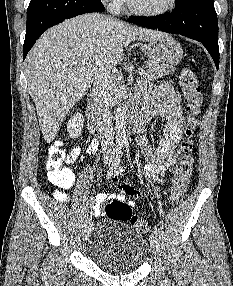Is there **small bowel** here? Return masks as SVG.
Instances as JSON below:
<instances>
[{
	"mask_svg": "<svg viewBox=\"0 0 233 286\" xmlns=\"http://www.w3.org/2000/svg\"><path fill=\"white\" fill-rule=\"evenodd\" d=\"M137 99L142 105V113L144 121L155 117H166L168 119L167 130L163 138L160 140L156 148H153L147 141L143 133V128L139 125L137 130L138 139L145 152L146 165L144 174L155 182L162 183L163 177L177 163L181 154L179 144L183 139V109L180 104V96L178 92L168 82H162L158 86L151 84H142L139 86ZM98 141L93 140L86 148L88 155L94 154L98 149ZM80 148H75L68 162L75 161L80 155ZM111 183L115 186L119 193L116 196L108 194H99L96 196L94 203V212L100 214V204L108 198H116L124 201L126 197H140L141 194L132 185L120 182L117 176L111 179ZM56 198L64 202L66 194L63 191L56 192ZM128 205H134L133 201H129Z\"/></svg>",
	"mask_w": 233,
	"mask_h": 286,
	"instance_id": "obj_1",
	"label": "small bowel"
}]
</instances>
